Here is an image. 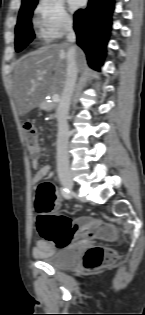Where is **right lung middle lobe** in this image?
Masks as SVG:
<instances>
[{"instance_id": "right-lung-middle-lobe-1", "label": "right lung middle lobe", "mask_w": 145, "mask_h": 315, "mask_svg": "<svg viewBox=\"0 0 145 315\" xmlns=\"http://www.w3.org/2000/svg\"><path fill=\"white\" fill-rule=\"evenodd\" d=\"M38 0L22 5L19 11L18 22L15 28V50H23L35 37L32 29V14Z\"/></svg>"}]
</instances>
